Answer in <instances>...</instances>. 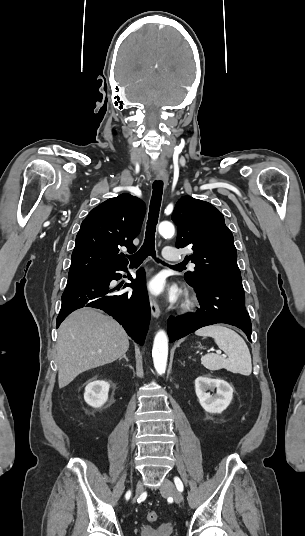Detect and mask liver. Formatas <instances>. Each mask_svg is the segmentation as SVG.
<instances>
[{
  "label": "liver",
  "instance_id": "obj_1",
  "mask_svg": "<svg viewBox=\"0 0 305 536\" xmlns=\"http://www.w3.org/2000/svg\"><path fill=\"white\" fill-rule=\"evenodd\" d=\"M128 348V336L113 318L93 308L76 310L58 330L59 388H65L86 370L122 358Z\"/></svg>",
  "mask_w": 305,
  "mask_h": 536
}]
</instances>
